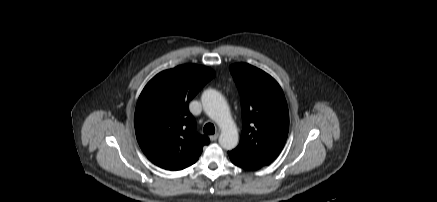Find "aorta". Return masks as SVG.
Here are the masks:
<instances>
[{"mask_svg":"<svg viewBox=\"0 0 437 202\" xmlns=\"http://www.w3.org/2000/svg\"><path fill=\"white\" fill-rule=\"evenodd\" d=\"M201 100L206 114L221 129L220 146L226 150L234 149L238 144V131L225 98L218 91L208 89L203 92Z\"/></svg>","mask_w":437,"mask_h":202,"instance_id":"obj_1","label":"aorta"}]
</instances>
